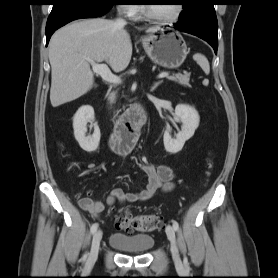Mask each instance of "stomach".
Instances as JSON below:
<instances>
[{
	"label": "stomach",
	"instance_id": "1",
	"mask_svg": "<svg viewBox=\"0 0 278 278\" xmlns=\"http://www.w3.org/2000/svg\"><path fill=\"white\" fill-rule=\"evenodd\" d=\"M142 44L152 62L168 69L180 67L188 54L183 37L175 32L162 30L159 35L144 36Z\"/></svg>",
	"mask_w": 278,
	"mask_h": 278
}]
</instances>
